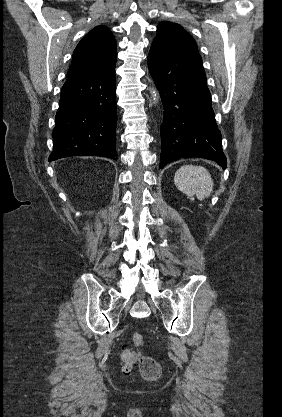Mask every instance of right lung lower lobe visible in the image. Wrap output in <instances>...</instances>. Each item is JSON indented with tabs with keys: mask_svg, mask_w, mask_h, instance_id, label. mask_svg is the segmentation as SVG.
<instances>
[{
	"mask_svg": "<svg viewBox=\"0 0 282 417\" xmlns=\"http://www.w3.org/2000/svg\"><path fill=\"white\" fill-rule=\"evenodd\" d=\"M115 63L67 78L56 114L49 161L68 156L117 160Z\"/></svg>",
	"mask_w": 282,
	"mask_h": 417,
	"instance_id": "98d812e1",
	"label": "right lung lower lobe"
}]
</instances>
